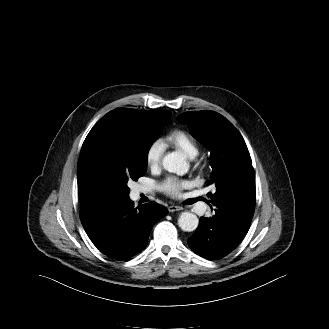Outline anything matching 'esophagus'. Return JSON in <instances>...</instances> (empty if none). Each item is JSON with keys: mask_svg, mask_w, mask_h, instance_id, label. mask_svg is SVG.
<instances>
[{"mask_svg": "<svg viewBox=\"0 0 329 329\" xmlns=\"http://www.w3.org/2000/svg\"><path fill=\"white\" fill-rule=\"evenodd\" d=\"M183 208L181 206H176V205H171L168 207L169 212H174V211H179L182 210Z\"/></svg>", "mask_w": 329, "mask_h": 329, "instance_id": "obj_1", "label": "esophagus"}]
</instances>
